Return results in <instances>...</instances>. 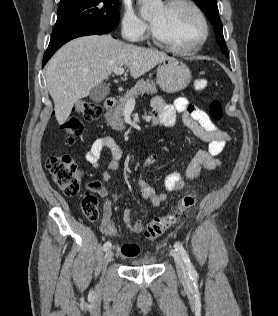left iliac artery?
I'll list each match as a JSON object with an SVG mask.
<instances>
[{
    "instance_id": "left-iliac-artery-1",
    "label": "left iliac artery",
    "mask_w": 278,
    "mask_h": 316,
    "mask_svg": "<svg viewBox=\"0 0 278 316\" xmlns=\"http://www.w3.org/2000/svg\"><path fill=\"white\" fill-rule=\"evenodd\" d=\"M174 246H175V249H176V251L178 252V254L181 255V257H182L184 263L186 264V267H187V269H188L189 276H190L191 278H195V277L197 276V272H196V270H195L193 264L191 263L190 258H189V256H188L186 250L184 249V247L182 246V244L179 243V242H176Z\"/></svg>"
}]
</instances>
